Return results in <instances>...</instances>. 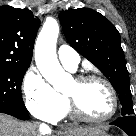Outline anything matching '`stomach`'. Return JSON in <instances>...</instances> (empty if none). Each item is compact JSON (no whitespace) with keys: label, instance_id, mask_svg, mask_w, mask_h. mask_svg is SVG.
I'll use <instances>...</instances> for the list:
<instances>
[{"label":"stomach","instance_id":"0dacf381","mask_svg":"<svg viewBox=\"0 0 136 136\" xmlns=\"http://www.w3.org/2000/svg\"><path fill=\"white\" fill-rule=\"evenodd\" d=\"M76 136H109L107 135L104 131H102L101 129H97L96 131H94L92 134L90 135H76Z\"/></svg>","mask_w":136,"mask_h":136}]
</instances>
